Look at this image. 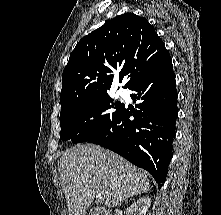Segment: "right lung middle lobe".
I'll return each mask as SVG.
<instances>
[{"mask_svg":"<svg viewBox=\"0 0 221 215\" xmlns=\"http://www.w3.org/2000/svg\"><path fill=\"white\" fill-rule=\"evenodd\" d=\"M124 104L114 102L108 93L61 107L60 138L73 143L86 142L108 130ZM91 117H94L90 120Z\"/></svg>","mask_w":221,"mask_h":215,"instance_id":"1","label":"right lung middle lobe"}]
</instances>
